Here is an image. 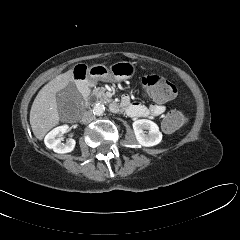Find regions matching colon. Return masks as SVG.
<instances>
[{
	"instance_id": "obj_1",
	"label": "colon",
	"mask_w": 240,
	"mask_h": 240,
	"mask_svg": "<svg viewBox=\"0 0 240 240\" xmlns=\"http://www.w3.org/2000/svg\"><path fill=\"white\" fill-rule=\"evenodd\" d=\"M142 87L147 97L157 102H167L176 95L175 86L166 78L158 75H147L142 78ZM185 122V116L178 110H171L164 117L162 128L171 133Z\"/></svg>"
}]
</instances>
